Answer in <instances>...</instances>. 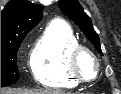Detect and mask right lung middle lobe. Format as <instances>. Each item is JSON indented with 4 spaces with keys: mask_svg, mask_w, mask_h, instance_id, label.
Returning <instances> with one entry per match:
<instances>
[{
    "mask_svg": "<svg viewBox=\"0 0 121 94\" xmlns=\"http://www.w3.org/2000/svg\"><path fill=\"white\" fill-rule=\"evenodd\" d=\"M28 32H17L1 39V87L9 86L19 79L16 53Z\"/></svg>",
    "mask_w": 121,
    "mask_h": 94,
    "instance_id": "dd1d6c3e",
    "label": "right lung middle lobe"
}]
</instances>
